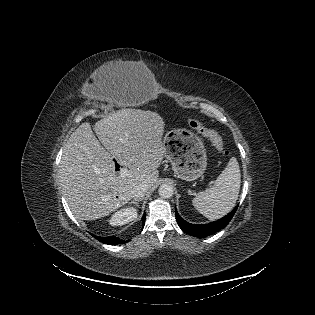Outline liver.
Listing matches in <instances>:
<instances>
[{"label": "liver", "mask_w": 315, "mask_h": 315, "mask_svg": "<svg viewBox=\"0 0 315 315\" xmlns=\"http://www.w3.org/2000/svg\"><path fill=\"white\" fill-rule=\"evenodd\" d=\"M120 69L133 71L137 64L123 63ZM164 126L157 112L126 108L95 123L99 140L88 122L71 134L63 149L60 180L76 218L105 217L133 198L136 185L158 182L157 168L166 153ZM113 159L128 168L127 177L117 174Z\"/></svg>", "instance_id": "1"}]
</instances>
